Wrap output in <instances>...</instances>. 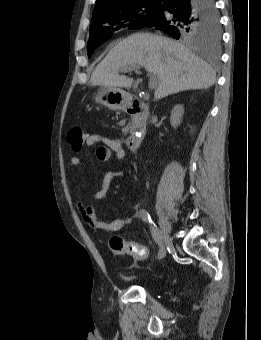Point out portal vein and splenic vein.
<instances>
[{
    "mask_svg": "<svg viewBox=\"0 0 261 340\" xmlns=\"http://www.w3.org/2000/svg\"><path fill=\"white\" fill-rule=\"evenodd\" d=\"M139 69H140V66H131V67L122 69L121 72L138 71ZM148 75L150 76L149 89L154 90L158 86V81L150 73Z\"/></svg>",
    "mask_w": 261,
    "mask_h": 340,
    "instance_id": "18ae733b",
    "label": "portal vein and splenic vein"
}]
</instances>
